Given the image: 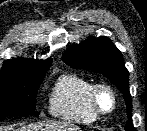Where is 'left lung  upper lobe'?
Segmentation results:
<instances>
[{
	"mask_svg": "<svg viewBox=\"0 0 147 131\" xmlns=\"http://www.w3.org/2000/svg\"><path fill=\"white\" fill-rule=\"evenodd\" d=\"M62 58L67 65L73 68L93 70L106 76L123 93L128 109V119L132 121L129 72L124 65L121 52L109 38L90 37L80 44L73 45L63 54ZM126 130L134 131L135 128L132 123H128Z\"/></svg>",
	"mask_w": 147,
	"mask_h": 131,
	"instance_id": "left-lung-upper-lobe-1",
	"label": "left lung upper lobe"
}]
</instances>
